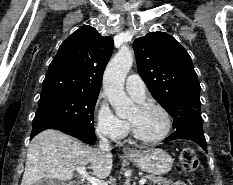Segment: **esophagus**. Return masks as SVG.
I'll use <instances>...</instances> for the list:
<instances>
[{"label": "esophagus", "mask_w": 233, "mask_h": 185, "mask_svg": "<svg viewBox=\"0 0 233 185\" xmlns=\"http://www.w3.org/2000/svg\"><path fill=\"white\" fill-rule=\"evenodd\" d=\"M124 153L125 154H133V150L132 149H129V148H126V149H124Z\"/></svg>", "instance_id": "esophagus-1"}]
</instances>
